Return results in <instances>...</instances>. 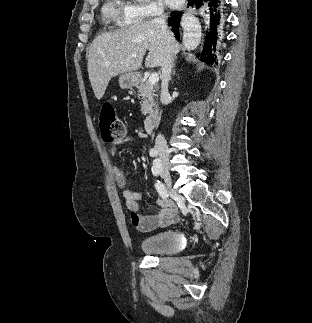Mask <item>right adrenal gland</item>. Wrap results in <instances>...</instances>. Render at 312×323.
<instances>
[{
  "label": "right adrenal gland",
  "instance_id": "1",
  "mask_svg": "<svg viewBox=\"0 0 312 323\" xmlns=\"http://www.w3.org/2000/svg\"><path fill=\"white\" fill-rule=\"evenodd\" d=\"M172 66H173V68H175V60H174V62H173V64H172ZM172 76H175V70H173V74H172Z\"/></svg>",
  "mask_w": 312,
  "mask_h": 323
}]
</instances>
